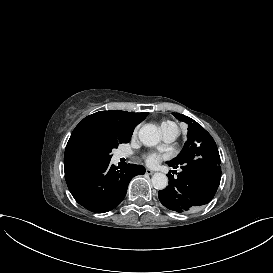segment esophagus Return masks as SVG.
Here are the masks:
<instances>
[{
    "label": "esophagus",
    "instance_id": "34e87169",
    "mask_svg": "<svg viewBox=\"0 0 273 273\" xmlns=\"http://www.w3.org/2000/svg\"><path fill=\"white\" fill-rule=\"evenodd\" d=\"M154 173V171L153 170H151V169H146V174H148V175H152Z\"/></svg>",
    "mask_w": 273,
    "mask_h": 273
}]
</instances>
